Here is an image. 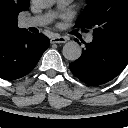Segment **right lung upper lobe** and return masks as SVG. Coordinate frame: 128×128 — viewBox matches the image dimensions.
Segmentation results:
<instances>
[{"label": "right lung upper lobe", "mask_w": 128, "mask_h": 128, "mask_svg": "<svg viewBox=\"0 0 128 128\" xmlns=\"http://www.w3.org/2000/svg\"><path fill=\"white\" fill-rule=\"evenodd\" d=\"M30 0H0V40L11 38L25 30L17 26V17L21 11L29 8Z\"/></svg>", "instance_id": "obj_1"}]
</instances>
